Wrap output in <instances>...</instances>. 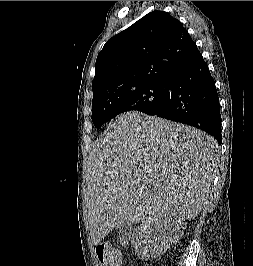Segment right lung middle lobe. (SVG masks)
<instances>
[{"label":"right lung middle lobe","instance_id":"obj_1","mask_svg":"<svg viewBox=\"0 0 253 266\" xmlns=\"http://www.w3.org/2000/svg\"><path fill=\"white\" fill-rule=\"evenodd\" d=\"M164 81L145 84L128 92L120 93L92 105V121L96 128L126 111H141L149 114L163 103Z\"/></svg>","mask_w":253,"mask_h":266}]
</instances>
